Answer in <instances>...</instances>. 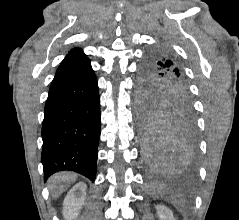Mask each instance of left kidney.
<instances>
[{
	"label": "left kidney",
	"mask_w": 239,
	"mask_h": 220,
	"mask_svg": "<svg viewBox=\"0 0 239 220\" xmlns=\"http://www.w3.org/2000/svg\"><path fill=\"white\" fill-rule=\"evenodd\" d=\"M156 210L160 220H176V218L173 216L172 211L167 207L163 205H157Z\"/></svg>",
	"instance_id": "5707ae66"
}]
</instances>
